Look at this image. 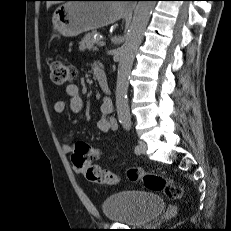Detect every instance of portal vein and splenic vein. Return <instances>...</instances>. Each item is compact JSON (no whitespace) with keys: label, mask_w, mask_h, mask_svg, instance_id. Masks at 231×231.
Returning a JSON list of instances; mask_svg holds the SVG:
<instances>
[{"label":"portal vein and splenic vein","mask_w":231,"mask_h":231,"mask_svg":"<svg viewBox=\"0 0 231 231\" xmlns=\"http://www.w3.org/2000/svg\"><path fill=\"white\" fill-rule=\"evenodd\" d=\"M105 44H106L105 41H100V42L98 43V45H99L100 47L105 46Z\"/></svg>","instance_id":"18ae733b"}]
</instances>
